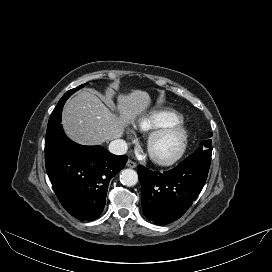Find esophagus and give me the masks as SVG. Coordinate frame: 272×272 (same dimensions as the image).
<instances>
[{
	"label": "esophagus",
	"instance_id": "34e87169",
	"mask_svg": "<svg viewBox=\"0 0 272 272\" xmlns=\"http://www.w3.org/2000/svg\"><path fill=\"white\" fill-rule=\"evenodd\" d=\"M126 166L129 168H136L137 164L132 160H128Z\"/></svg>",
	"mask_w": 272,
	"mask_h": 272
}]
</instances>
